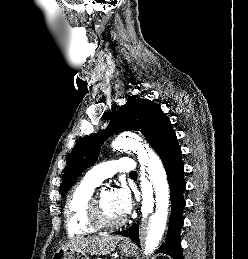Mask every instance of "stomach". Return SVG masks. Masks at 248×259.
<instances>
[{
	"instance_id": "1",
	"label": "stomach",
	"mask_w": 248,
	"mask_h": 259,
	"mask_svg": "<svg viewBox=\"0 0 248 259\" xmlns=\"http://www.w3.org/2000/svg\"><path fill=\"white\" fill-rule=\"evenodd\" d=\"M120 250L125 255H132L133 254V247L132 246H125L121 245ZM52 259H90L89 256L82 252H77L73 249H66L57 250Z\"/></svg>"
}]
</instances>
